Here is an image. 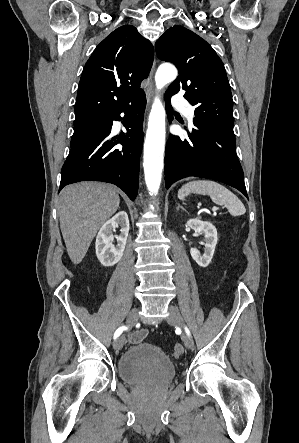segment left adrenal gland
<instances>
[{
  "label": "left adrenal gland",
  "instance_id": "left-adrenal-gland-1",
  "mask_svg": "<svg viewBox=\"0 0 299 443\" xmlns=\"http://www.w3.org/2000/svg\"><path fill=\"white\" fill-rule=\"evenodd\" d=\"M181 208L182 210H185L180 204H177V210Z\"/></svg>",
  "mask_w": 299,
  "mask_h": 443
}]
</instances>
